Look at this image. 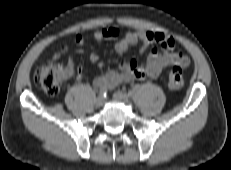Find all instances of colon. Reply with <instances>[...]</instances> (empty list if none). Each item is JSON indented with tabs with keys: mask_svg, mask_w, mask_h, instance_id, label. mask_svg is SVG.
<instances>
[{
	"mask_svg": "<svg viewBox=\"0 0 231 170\" xmlns=\"http://www.w3.org/2000/svg\"><path fill=\"white\" fill-rule=\"evenodd\" d=\"M68 79L64 66L48 61L39 67L34 73V81L46 94L55 96L60 91L61 83ZM184 85V77L181 67L175 66L168 75V87L177 91Z\"/></svg>",
	"mask_w": 231,
	"mask_h": 170,
	"instance_id": "colon-1",
	"label": "colon"
}]
</instances>
